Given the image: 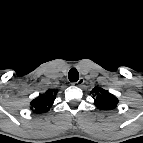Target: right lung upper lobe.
Instances as JSON below:
<instances>
[{
  "mask_svg": "<svg viewBox=\"0 0 143 143\" xmlns=\"http://www.w3.org/2000/svg\"><path fill=\"white\" fill-rule=\"evenodd\" d=\"M58 90H48L31 102V109L34 113H44L50 110Z\"/></svg>",
  "mask_w": 143,
  "mask_h": 143,
  "instance_id": "right-lung-upper-lobe-1",
  "label": "right lung upper lobe"
}]
</instances>
